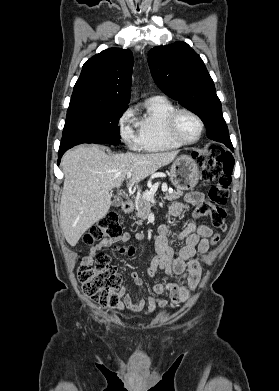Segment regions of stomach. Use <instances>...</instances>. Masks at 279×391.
Listing matches in <instances>:
<instances>
[{"mask_svg": "<svg viewBox=\"0 0 279 391\" xmlns=\"http://www.w3.org/2000/svg\"><path fill=\"white\" fill-rule=\"evenodd\" d=\"M199 169L196 162L189 156L177 158L170 168V179L178 190H190L199 180Z\"/></svg>", "mask_w": 279, "mask_h": 391, "instance_id": "obj_1", "label": "stomach"}]
</instances>
